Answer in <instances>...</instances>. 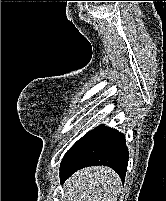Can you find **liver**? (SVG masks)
<instances>
[{
  "label": "liver",
  "instance_id": "liver-1",
  "mask_svg": "<svg viewBox=\"0 0 166 201\" xmlns=\"http://www.w3.org/2000/svg\"><path fill=\"white\" fill-rule=\"evenodd\" d=\"M68 201H116L121 191L118 174L106 166L78 170L64 184Z\"/></svg>",
  "mask_w": 166,
  "mask_h": 201
}]
</instances>
